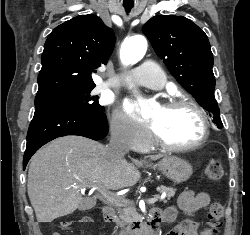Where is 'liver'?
Instances as JSON below:
<instances>
[{
    "instance_id": "liver-1",
    "label": "liver",
    "mask_w": 250,
    "mask_h": 235,
    "mask_svg": "<svg viewBox=\"0 0 250 235\" xmlns=\"http://www.w3.org/2000/svg\"><path fill=\"white\" fill-rule=\"evenodd\" d=\"M139 178L140 172L126 159L109 160L104 145L72 135L57 138L32 157L27 191L37 221L52 222L85 200L94 205L82 197L83 188L118 190L135 185Z\"/></svg>"
}]
</instances>
